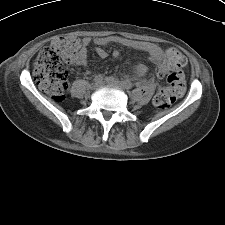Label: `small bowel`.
Segmentation results:
<instances>
[{
	"instance_id": "1",
	"label": "small bowel",
	"mask_w": 225,
	"mask_h": 225,
	"mask_svg": "<svg viewBox=\"0 0 225 225\" xmlns=\"http://www.w3.org/2000/svg\"><path fill=\"white\" fill-rule=\"evenodd\" d=\"M98 47L96 48V53L100 58H106L108 56V52L103 48V46L108 45L111 40L109 38H96L93 40ZM92 42V39L89 37H84L82 39V46L79 50L76 65L86 67L87 66V57H88V49L87 47ZM140 50L147 53L152 64H159L161 62L162 52L161 49L152 43H145L140 47ZM112 56L115 59H119L120 52L118 50L113 51ZM147 73V68L144 65H138L136 68V74L138 76H144Z\"/></svg>"
}]
</instances>
